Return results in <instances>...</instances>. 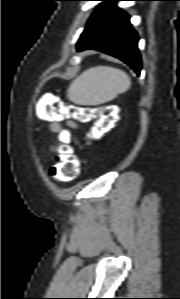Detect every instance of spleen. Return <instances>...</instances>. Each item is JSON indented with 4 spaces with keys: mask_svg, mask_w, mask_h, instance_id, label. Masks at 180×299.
I'll return each instance as SVG.
<instances>
[{
    "mask_svg": "<svg viewBox=\"0 0 180 299\" xmlns=\"http://www.w3.org/2000/svg\"><path fill=\"white\" fill-rule=\"evenodd\" d=\"M130 86V77L124 71L109 66H97L87 69L73 80L67 96L78 105H99L126 92Z\"/></svg>",
    "mask_w": 180,
    "mask_h": 299,
    "instance_id": "1",
    "label": "spleen"
}]
</instances>
